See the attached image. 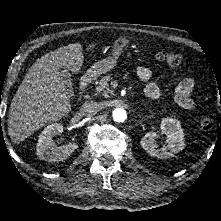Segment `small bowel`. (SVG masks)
<instances>
[{"label": "small bowel", "mask_w": 221, "mask_h": 221, "mask_svg": "<svg viewBox=\"0 0 221 221\" xmlns=\"http://www.w3.org/2000/svg\"><path fill=\"white\" fill-rule=\"evenodd\" d=\"M137 76L142 81H148L152 77V71L146 66H139L136 70ZM195 82L192 78H184L176 87L175 101L176 103L187 110L195 108V101L191 97ZM145 94L148 98L157 100L161 98L162 91L155 83H149L145 88Z\"/></svg>", "instance_id": "obj_1"}]
</instances>
